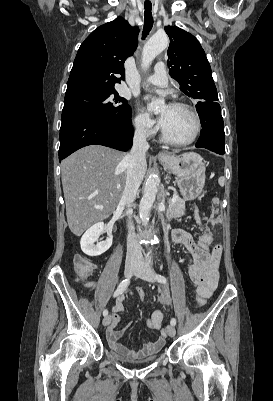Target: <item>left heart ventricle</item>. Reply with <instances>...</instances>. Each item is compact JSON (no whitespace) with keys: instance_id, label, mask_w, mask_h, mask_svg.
I'll use <instances>...</instances> for the list:
<instances>
[{"instance_id":"left-heart-ventricle-1","label":"left heart ventricle","mask_w":273,"mask_h":401,"mask_svg":"<svg viewBox=\"0 0 273 401\" xmlns=\"http://www.w3.org/2000/svg\"><path fill=\"white\" fill-rule=\"evenodd\" d=\"M162 114L164 117L161 125L172 138L187 140L195 133V121L187 111L170 106L164 109Z\"/></svg>"}]
</instances>
